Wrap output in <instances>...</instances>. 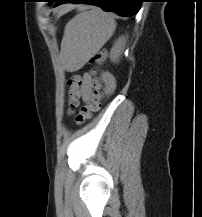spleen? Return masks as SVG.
<instances>
[{"mask_svg": "<svg viewBox=\"0 0 202 217\" xmlns=\"http://www.w3.org/2000/svg\"><path fill=\"white\" fill-rule=\"evenodd\" d=\"M115 29L113 15L93 7L77 14L66 24L62 51L73 61L90 57L111 38Z\"/></svg>", "mask_w": 202, "mask_h": 217, "instance_id": "3e777b00", "label": "spleen"}]
</instances>
